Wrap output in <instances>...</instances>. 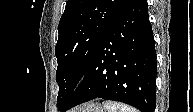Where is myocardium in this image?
Here are the masks:
<instances>
[{
	"label": "myocardium",
	"mask_w": 193,
	"mask_h": 112,
	"mask_svg": "<svg viewBox=\"0 0 193 112\" xmlns=\"http://www.w3.org/2000/svg\"><path fill=\"white\" fill-rule=\"evenodd\" d=\"M82 80H83V76H82V75H78V76L74 79V81H73L74 86H78V85L82 82Z\"/></svg>",
	"instance_id": "1"
}]
</instances>
